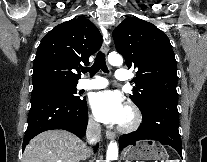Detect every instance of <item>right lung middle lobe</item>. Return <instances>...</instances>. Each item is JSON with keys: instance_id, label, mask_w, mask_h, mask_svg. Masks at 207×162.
I'll return each instance as SVG.
<instances>
[{"instance_id": "obj_1", "label": "right lung middle lobe", "mask_w": 207, "mask_h": 162, "mask_svg": "<svg viewBox=\"0 0 207 162\" xmlns=\"http://www.w3.org/2000/svg\"><path fill=\"white\" fill-rule=\"evenodd\" d=\"M76 85L77 84H50L34 87L32 90L31 97L44 94H58L70 101L79 102L81 101V99L79 96L76 95Z\"/></svg>"}]
</instances>
